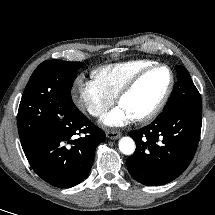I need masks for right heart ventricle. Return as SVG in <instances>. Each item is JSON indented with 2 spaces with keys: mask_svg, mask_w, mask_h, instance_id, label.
<instances>
[{
  "mask_svg": "<svg viewBox=\"0 0 215 215\" xmlns=\"http://www.w3.org/2000/svg\"><path fill=\"white\" fill-rule=\"evenodd\" d=\"M154 63L152 60L138 59L108 64L93 70L92 77L99 87L115 97L130 78Z\"/></svg>",
  "mask_w": 215,
  "mask_h": 215,
  "instance_id": "right-heart-ventricle-1",
  "label": "right heart ventricle"
}]
</instances>
